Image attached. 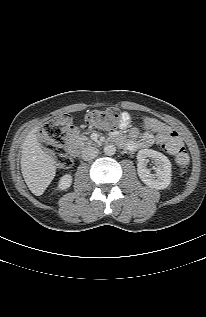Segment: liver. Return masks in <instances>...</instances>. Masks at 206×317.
Returning <instances> with one entry per match:
<instances>
[{
    "mask_svg": "<svg viewBox=\"0 0 206 317\" xmlns=\"http://www.w3.org/2000/svg\"><path fill=\"white\" fill-rule=\"evenodd\" d=\"M35 127L29 132L22 144L21 171L25 183L30 191L40 196L56 174V166L53 158L43 151L38 142Z\"/></svg>",
    "mask_w": 206,
    "mask_h": 317,
    "instance_id": "1",
    "label": "liver"
}]
</instances>
